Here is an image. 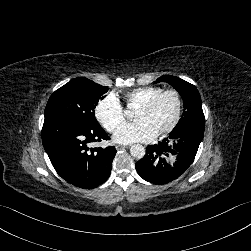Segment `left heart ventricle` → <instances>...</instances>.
I'll return each instance as SVG.
<instances>
[{"label":"left heart ventricle","mask_w":251,"mask_h":251,"mask_svg":"<svg viewBox=\"0 0 251 251\" xmlns=\"http://www.w3.org/2000/svg\"><path fill=\"white\" fill-rule=\"evenodd\" d=\"M177 113V100L173 95L163 97L151 110L138 108L135 119H149L157 127L158 131L170 124Z\"/></svg>","instance_id":"left-heart-ventricle-1"}]
</instances>
